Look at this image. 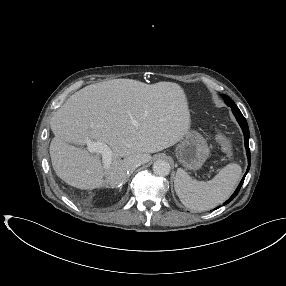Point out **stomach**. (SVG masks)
<instances>
[{
  "label": "stomach",
  "mask_w": 286,
  "mask_h": 286,
  "mask_svg": "<svg viewBox=\"0 0 286 286\" xmlns=\"http://www.w3.org/2000/svg\"><path fill=\"white\" fill-rule=\"evenodd\" d=\"M209 147L204 137L195 130H189L176 148V157L188 170H198L209 156Z\"/></svg>",
  "instance_id": "stomach-1"
}]
</instances>
